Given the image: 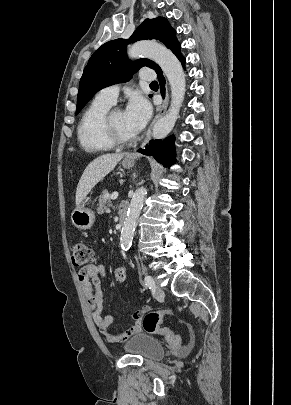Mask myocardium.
I'll return each instance as SVG.
<instances>
[{
  "label": "myocardium",
  "instance_id": "myocardium-1",
  "mask_svg": "<svg viewBox=\"0 0 291 405\" xmlns=\"http://www.w3.org/2000/svg\"><path fill=\"white\" fill-rule=\"evenodd\" d=\"M118 110H119L118 108L111 109L105 115L104 121H103L104 134H105L107 140L113 146H117V147L130 146L137 141V137L134 136L132 138H123L118 134V132L116 131L114 124H113V115Z\"/></svg>",
  "mask_w": 291,
  "mask_h": 405
}]
</instances>
